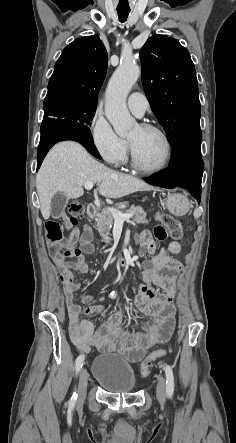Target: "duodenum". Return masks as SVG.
Masks as SVG:
<instances>
[{"label": "duodenum", "mask_w": 236, "mask_h": 443, "mask_svg": "<svg viewBox=\"0 0 236 443\" xmlns=\"http://www.w3.org/2000/svg\"><path fill=\"white\" fill-rule=\"evenodd\" d=\"M87 214L90 218H94L97 216L98 214V208L97 205L94 202H89L87 205ZM117 262L121 265V266H125L128 264L129 262V257L127 256H122L119 255L116 257Z\"/></svg>", "instance_id": "410a0bca"}]
</instances>
